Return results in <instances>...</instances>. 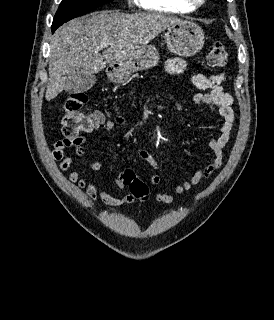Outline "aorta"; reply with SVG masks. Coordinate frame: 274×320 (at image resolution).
<instances>
[{
	"label": "aorta",
	"instance_id": "1",
	"mask_svg": "<svg viewBox=\"0 0 274 320\" xmlns=\"http://www.w3.org/2000/svg\"><path fill=\"white\" fill-rule=\"evenodd\" d=\"M159 139H162V137H161V135H160V134L158 135V140H159Z\"/></svg>",
	"mask_w": 274,
	"mask_h": 320
}]
</instances>
